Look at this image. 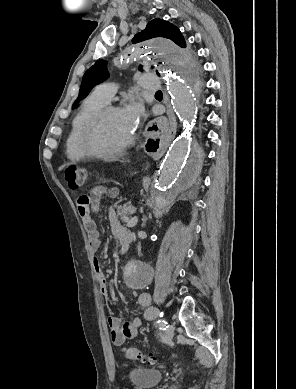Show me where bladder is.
<instances>
[{"label": "bladder", "mask_w": 296, "mask_h": 389, "mask_svg": "<svg viewBox=\"0 0 296 389\" xmlns=\"http://www.w3.org/2000/svg\"><path fill=\"white\" fill-rule=\"evenodd\" d=\"M128 379L134 389H151L161 381L162 373L151 368L134 367L130 370Z\"/></svg>", "instance_id": "obj_1"}]
</instances>
